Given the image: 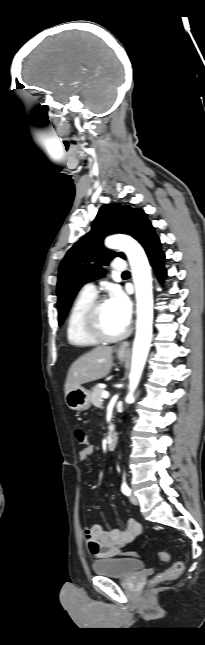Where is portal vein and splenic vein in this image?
Here are the masks:
<instances>
[{
  "instance_id": "1",
  "label": "portal vein and splenic vein",
  "mask_w": 205,
  "mask_h": 645,
  "mask_svg": "<svg viewBox=\"0 0 205 645\" xmlns=\"http://www.w3.org/2000/svg\"><path fill=\"white\" fill-rule=\"evenodd\" d=\"M108 397H109V392L104 391V392L102 393V398L107 399Z\"/></svg>"
}]
</instances>
